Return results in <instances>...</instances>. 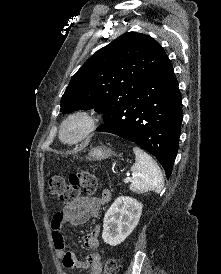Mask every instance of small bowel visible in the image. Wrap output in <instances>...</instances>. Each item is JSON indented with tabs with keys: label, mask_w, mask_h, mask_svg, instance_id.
<instances>
[{
	"label": "small bowel",
	"mask_w": 221,
	"mask_h": 274,
	"mask_svg": "<svg viewBox=\"0 0 221 274\" xmlns=\"http://www.w3.org/2000/svg\"><path fill=\"white\" fill-rule=\"evenodd\" d=\"M112 194L108 189L101 192L100 197H80L55 213L51 221L52 240L58 258L67 269H87L89 274H101L102 260L98 252L90 253L86 261H80L74 252L65 247V234L70 232L68 226H79L89 219L99 215L103 205L111 200ZM100 226H96L90 233L83 236V244L88 250H96L99 246Z\"/></svg>",
	"instance_id": "small-bowel-1"
}]
</instances>
